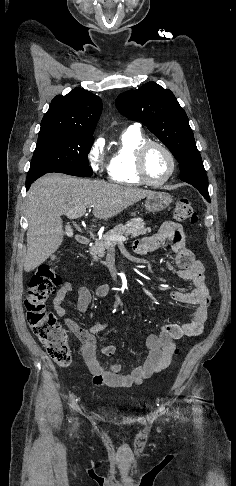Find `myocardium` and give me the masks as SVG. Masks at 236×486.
<instances>
[{"mask_svg": "<svg viewBox=\"0 0 236 486\" xmlns=\"http://www.w3.org/2000/svg\"><path fill=\"white\" fill-rule=\"evenodd\" d=\"M152 146H157V147L161 148L166 153V155L168 156V159L170 161L169 172L167 173V175L163 179H161L159 181H154V180L150 179L148 177V175L146 173V169H145V156H146L147 151ZM135 169H136L137 176L139 177V179L144 184H147V185H150V186H161V185L167 183L172 178V176L174 175L175 170H176V159H175L173 152L164 143H162L160 141L147 140L144 143H142L138 147V149L136 150V153H135Z\"/></svg>", "mask_w": 236, "mask_h": 486, "instance_id": "obj_1", "label": "myocardium"}]
</instances>
